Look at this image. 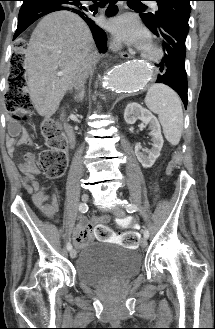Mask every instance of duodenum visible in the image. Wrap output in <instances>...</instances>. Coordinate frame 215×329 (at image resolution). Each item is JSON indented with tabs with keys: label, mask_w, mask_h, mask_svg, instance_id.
Segmentation results:
<instances>
[{
	"label": "duodenum",
	"mask_w": 215,
	"mask_h": 329,
	"mask_svg": "<svg viewBox=\"0 0 215 329\" xmlns=\"http://www.w3.org/2000/svg\"><path fill=\"white\" fill-rule=\"evenodd\" d=\"M63 116H65V111L63 112ZM66 133L68 138L70 139L71 145H74V132L70 125H66Z\"/></svg>",
	"instance_id": "410a0bca"
}]
</instances>
